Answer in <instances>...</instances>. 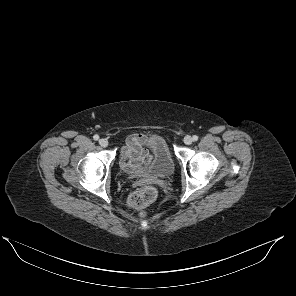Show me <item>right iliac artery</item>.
<instances>
[{
    "instance_id": "1",
    "label": "right iliac artery",
    "mask_w": 296,
    "mask_h": 296,
    "mask_svg": "<svg viewBox=\"0 0 296 296\" xmlns=\"http://www.w3.org/2000/svg\"><path fill=\"white\" fill-rule=\"evenodd\" d=\"M93 138H94V140L97 141L99 139V136L96 134V135L93 136Z\"/></svg>"
}]
</instances>
